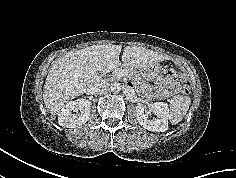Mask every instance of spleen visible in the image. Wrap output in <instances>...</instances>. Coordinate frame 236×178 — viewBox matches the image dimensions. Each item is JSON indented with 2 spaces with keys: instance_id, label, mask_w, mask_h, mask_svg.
I'll list each match as a JSON object with an SVG mask.
<instances>
[{
  "instance_id": "obj_1",
  "label": "spleen",
  "mask_w": 236,
  "mask_h": 178,
  "mask_svg": "<svg viewBox=\"0 0 236 178\" xmlns=\"http://www.w3.org/2000/svg\"><path fill=\"white\" fill-rule=\"evenodd\" d=\"M190 104L191 99L187 96L177 95L171 99L170 121L172 124H178L183 119L189 109Z\"/></svg>"
}]
</instances>
